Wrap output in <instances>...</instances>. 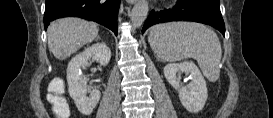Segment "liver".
<instances>
[{"label": "liver", "instance_id": "obj_1", "mask_svg": "<svg viewBox=\"0 0 273 118\" xmlns=\"http://www.w3.org/2000/svg\"><path fill=\"white\" fill-rule=\"evenodd\" d=\"M93 22L78 18H63L51 23L47 30L48 47L55 58L62 60L92 42L98 35Z\"/></svg>", "mask_w": 273, "mask_h": 118}]
</instances>
